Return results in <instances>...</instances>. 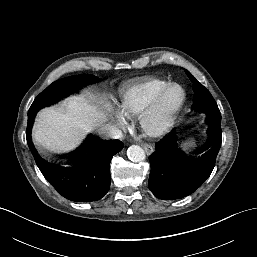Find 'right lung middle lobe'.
<instances>
[{
  "label": "right lung middle lobe",
  "mask_w": 257,
  "mask_h": 257,
  "mask_svg": "<svg viewBox=\"0 0 257 257\" xmlns=\"http://www.w3.org/2000/svg\"><path fill=\"white\" fill-rule=\"evenodd\" d=\"M96 80L97 78L93 75H78L53 82L49 87H47L42 93H40L36 97L28 111V117L30 116L31 118H35L36 111L40 107L55 103L63 95L72 91H76L80 89L83 85H87Z\"/></svg>",
  "instance_id": "1"
}]
</instances>
